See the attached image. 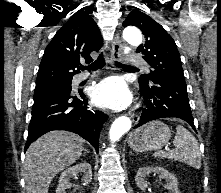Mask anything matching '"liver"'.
Returning <instances> with one entry per match:
<instances>
[{
	"instance_id": "1",
	"label": "liver",
	"mask_w": 221,
	"mask_h": 193,
	"mask_svg": "<svg viewBox=\"0 0 221 193\" xmlns=\"http://www.w3.org/2000/svg\"><path fill=\"white\" fill-rule=\"evenodd\" d=\"M83 139L68 131H50L35 142L24 161L27 193H48L52 179L82 155Z\"/></svg>"
}]
</instances>
